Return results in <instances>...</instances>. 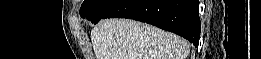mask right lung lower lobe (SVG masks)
Listing matches in <instances>:
<instances>
[{"instance_id": "obj_1", "label": "right lung lower lobe", "mask_w": 261, "mask_h": 59, "mask_svg": "<svg viewBox=\"0 0 261 59\" xmlns=\"http://www.w3.org/2000/svg\"><path fill=\"white\" fill-rule=\"evenodd\" d=\"M94 24L104 18H130L178 34L198 46L201 30L199 0H113L86 17Z\"/></svg>"}]
</instances>
